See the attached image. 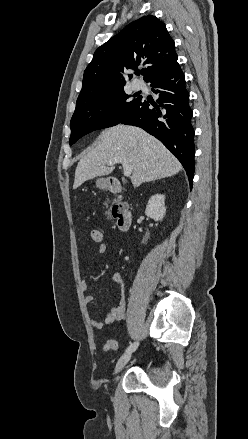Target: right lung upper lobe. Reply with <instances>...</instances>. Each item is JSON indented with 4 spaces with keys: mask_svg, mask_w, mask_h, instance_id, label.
<instances>
[{
    "mask_svg": "<svg viewBox=\"0 0 248 439\" xmlns=\"http://www.w3.org/2000/svg\"><path fill=\"white\" fill-rule=\"evenodd\" d=\"M178 56L164 23L155 16H143L128 24L94 53L83 76L76 107L123 88L121 72L145 65L144 80L172 69ZM132 76L129 75V78Z\"/></svg>",
    "mask_w": 248,
    "mask_h": 439,
    "instance_id": "right-lung-upper-lobe-1",
    "label": "right lung upper lobe"
}]
</instances>
